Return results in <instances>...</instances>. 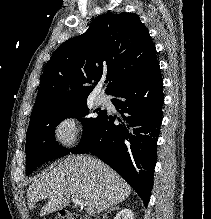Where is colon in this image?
I'll list each match as a JSON object with an SVG mask.
<instances>
[{
	"mask_svg": "<svg viewBox=\"0 0 211 219\" xmlns=\"http://www.w3.org/2000/svg\"><path fill=\"white\" fill-rule=\"evenodd\" d=\"M57 219H80L72 213H68L66 211H59L57 215Z\"/></svg>",
	"mask_w": 211,
	"mask_h": 219,
	"instance_id": "colon-1",
	"label": "colon"
}]
</instances>
